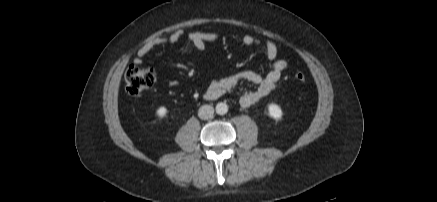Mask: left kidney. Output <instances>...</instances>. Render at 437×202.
Instances as JSON below:
<instances>
[{"label":"left kidney","mask_w":437,"mask_h":202,"mask_svg":"<svg viewBox=\"0 0 437 202\" xmlns=\"http://www.w3.org/2000/svg\"><path fill=\"white\" fill-rule=\"evenodd\" d=\"M268 114L273 119L279 120L282 118L283 112L277 104L272 103L268 105Z\"/></svg>","instance_id":"5707ae66"}]
</instances>
